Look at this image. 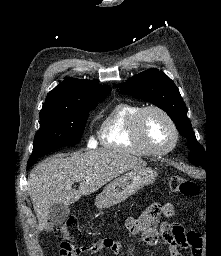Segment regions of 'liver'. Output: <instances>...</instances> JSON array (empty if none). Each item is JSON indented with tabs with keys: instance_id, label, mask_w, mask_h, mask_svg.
<instances>
[{
	"instance_id": "1",
	"label": "liver",
	"mask_w": 221,
	"mask_h": 256,
	"mask_svg": "<svg viewBox=\"0 0 221 256\" xmlns=\"http://www.w3.org/2000/svg\"><path fill=\"white\" fill-rule=\"evenodd\" d=\"M136 156L115 149L56 155L39 163L28 177L30 198L38 218V230L48 225L54 204L72 205L82 195L94 193L124 172L146 166ZM80 182L78 190L72 188Z\"/></svg>"
}]
</instances>
